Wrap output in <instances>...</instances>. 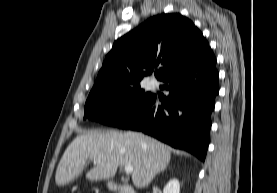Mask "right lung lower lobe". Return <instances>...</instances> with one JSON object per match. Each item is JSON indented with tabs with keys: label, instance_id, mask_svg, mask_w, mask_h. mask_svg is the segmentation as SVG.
Segmentation results:
<instances>
[{
	"label": "right lung lower lobe",
	"instance_id": "1",
	"mask_svg": "<svg viewBox=\"0 0 277 193\" xmlns=\"http://www.w3.org/2000/svg\"><path fill=\"white\" fill-rule=\"evenodd\" d=\"M219 73L212 50L164 80L169 96H156L118 127L142 131L174 148L186 150L205 160L210 140L211 112L219 92Z\"/></svg>",
	"mask_w": 277,
	"mask_h": 193
}]
</instances>
